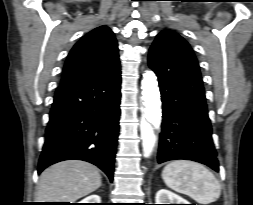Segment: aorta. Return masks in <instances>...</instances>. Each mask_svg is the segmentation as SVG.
Segmentation results:
<instances>
[{
    "mask_svg": "<svg viewBox=\"0 0 253 205\" xmlns=\"http://www.w3.org/2000/svg\"><path fill=\"white\" fill-rule=\"evenodd\" d=\"M141 89L144 112L140 124L141 139L144 157H149L155 142L153 130L159 128L162 120L160 91L153 71L148 70L143 74Z\"/></svg>",
    "mask_w": 253,
    "mask_h": 205,
    "instance_id": "1",
    "label": "aorta"
}]
</instances>
